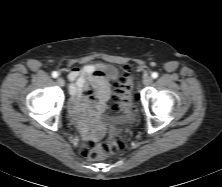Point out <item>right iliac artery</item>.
<instances>
[{"label": "right iliac artery", "mask_w": 222, "mask_h": 187, "mask_svg": "<svg viewBox=\"0 0 222 187\" xmlns=\"http://www.w3.org/2000/svg\"><path fill=\"white\" fill-rule=\"evenodd\" d=\"M52 77L53 78H57L58 77V73L56 71L52 72Z\"/></svg>", "instance_id": "82829eb1"}]
</instances>
